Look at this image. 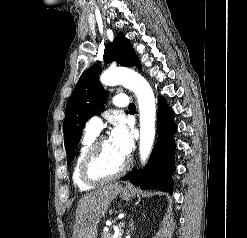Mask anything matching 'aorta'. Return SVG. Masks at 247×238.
Returning a JSON list of instances; mask_svg holds the SVG:
<instances>
[{"instance_id": "aorta-1", "label": "aorta", "mask_w": 247, "mask_h": 238, "mask_svg": "<svg viewBox=\"0 0 247 238\" xmlns=\"http://www.w3.org/2000/svg\"><path fill=\"white\" fill-rule=\"evenodd\" d=\"M100 81L106 86L121 84L135 93L140 112L139 152L141 162L145 163L155 138L156 105L151 86L140 74L126 68L109 69L101 75Z\"/></svg>"}]
</instances>
